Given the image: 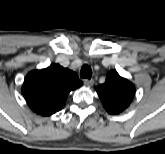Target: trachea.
Returning <instances> with one entry per match:
<instances>
[{
  "mask_svg": "<svg viewBox=\"0 0 165 154\" xmlns=\"http://www.w3.org/2000/svg\"><path fill=\"white\" fill-rule=\"evenodd\" d=\"M80 77L90 79L92 77V70L89 65L85 64L82 66L80 71Z\"/></svg>",
  "mask_w": 165,
  "mask_h": 154,
  "instance_id": "1",
  "label": "trachea"
}]
</instances>
